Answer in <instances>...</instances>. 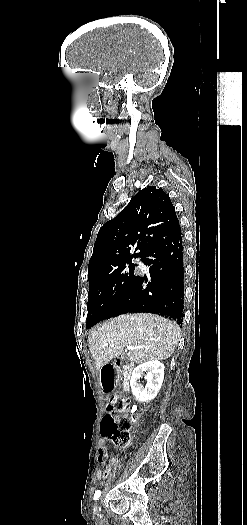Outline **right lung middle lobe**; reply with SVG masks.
Returning a JSON list of instances; mask_svg holds the SVG:
<instances>
[{"label":"right lung middle lobe","mask_w":247,"mask_h":525,"mask_svg":"<svg viewBox=\"0 0 247 525\" xmlns=\"http://www.w3.org/2000/svg\"><path fill=\"white\" fill-rule=\"evenodd\" d=\"M136 266V264L129 263L128 268L123 266L113 270L88 274L87 328L114 315L137 278L134 274Z\"/></svg>","instance_id":"1"}]
</instances>
